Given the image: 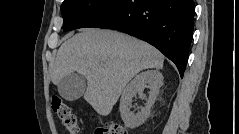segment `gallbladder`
Instances as JSON below:
<instances>
[{"instance_id": "obj_1", "label": "gallbladder", "mask_w": 239, "mask_h": 134, "mask_svg": "<svg viewBox=\"0 0 239 134\" xmlns=\"http://www.w3.org/2000/svg\"><path fill=\"white\" fill-rule=\"evenodd\" d=\"M57 87L62 98L74 101L79 99L85 92L86 82L82 76L71 73L62 78Z\"/></svg>"}]
</instances>
